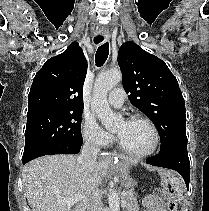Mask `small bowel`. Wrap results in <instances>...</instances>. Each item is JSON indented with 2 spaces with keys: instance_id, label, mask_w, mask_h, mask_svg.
Listing matches in <instances>:
<instances>
[{
  "instance_id": "obj_1",
  "label": "small bowel",
  "mask_w": 209,
  "mask_h": 211,
  "mask_svg": "<svg viewBox=\"0 0 209 211\" xmlns=\"http://www.w3.org/2000/svg\"><path fill=\"white\" fill-rule=\"evenodd\" d=\"M167 194L165 190L158 189L152 194H149L144 199L145 207L148 211H167L164 207Z\"/></svg>"
}]
</instances>
